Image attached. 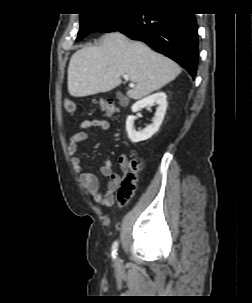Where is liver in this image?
<instances>
[{
    "label": "liver",
    "instance_id": "liver-1",
    "mask_svg": "<svg viewBox=\"0 0 252 303\" xmlns=\"http://www.w3.org/2000/svg\"><path fill=\"white\" fill-rule=\"evenodd\" d=\"M181 72L177 63L141 42L114 32L102 37L99 46L76 51L68 66V91L73 97L108 92L127 75L135 87L127 95L141 99L174 80Z\"/></svg>",
    "mask_w": 252,
    "mask_h": 303
}]
</instances>
